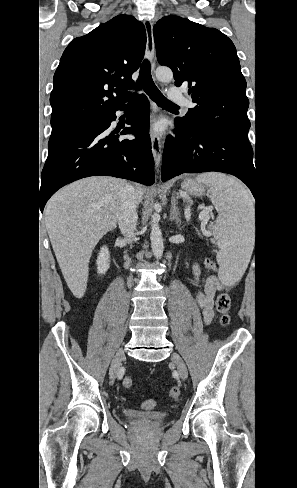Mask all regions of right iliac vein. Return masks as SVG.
<instances>
[{"mask_svg":"<svg viewBox=\"0 0 297 488\" xmlns=\"http://www.w3.org/2000/svg\"><path fill=\"white\" fill-rule=\"evenodd\" d=\"M124 358H125L124 350L122 348H120L116 352V354L112 360V363H111V367H110V371H109V375H110L111 380H115V378L117 377L119 370H120V366H121Z\"/></svg>","mask_w":297,"mask_h":488,"instance_id":"1","label":"right iliac vein"}]
</instances>
